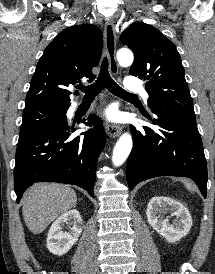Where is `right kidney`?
Masks as SVG:
<instances>
[{"label": "right kidney", "instance_id": "1", "mask_svg": "<svg viewBox=\"0 0 215 274\" xmlns=\"http://www.w3.org/2000/svg\"><path fill=\"white\" fill-rule=\"evenodd\" d=\"M82 218L76 210L61 215L50 227L47 236V248L55 255H64L78 240L82 232ZM68 225V232L63 227Z\"/></svg>", "mask_w": 215, "mask_h": 274}]
</instances>
